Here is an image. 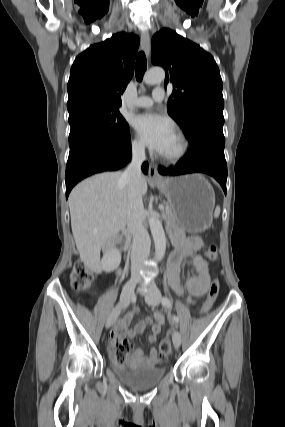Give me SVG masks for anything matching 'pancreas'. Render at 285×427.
Wrapping results in <instances>:
<instances>
[{"label":"pancreas","instance_id":"cf45deb5","mask_svg":"<svg viewBox=\"0 0 285 427\" xmlns=\"http://www.w3.org/2000/svg\"><path fill=\"white\" fill-rule=\"evenodd\" d=\"M165 208L162 210V216L163 218L169 222V223H173L175 221V214L171 208V206H169L167 203H164Z\"/></svg>","mask_w":285,"mask_h":427}]
</instances>
